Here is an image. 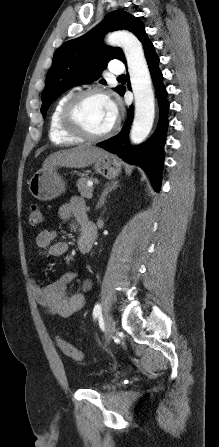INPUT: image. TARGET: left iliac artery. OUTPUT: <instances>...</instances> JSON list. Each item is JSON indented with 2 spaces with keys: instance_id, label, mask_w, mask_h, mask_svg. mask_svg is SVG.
<instances>
[{
  "instance_id": "obj_1",
  "label": "left iliac artery",
  "mask_w": 219,
  "mask_h": 447,
  "mask_svg": "<svg viewBox=\"0 0 219 447\" xmlns=\"http://www.w3.org/2000/svg\"><path fill=\"white\" fill-rule=\"evenodd\" d=\"M101 315H102V308H101V305L99 303H97L93 309V316H94V318H97Z\"/></svg>"
}]
</instances>
